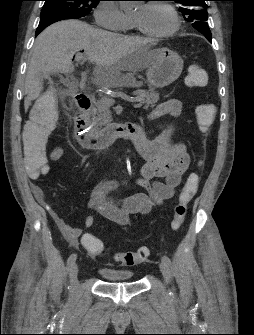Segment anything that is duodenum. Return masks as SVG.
<instances>
[{
    "instance_id": "410a0bca",
    "label": "duodenum",
    "mask_w": 254,
    "mask_h": 335,
    "mask_svg": "<svg viewBox=\"0 0 254 335\" xmlns=\"http://www.w3.org/2000/svg\"><path fill=\"white\" fill-rule=\"evenodd\" d=\"M77 106L75 114V133L79 143L90 150L103 149L111 146L118 138H128L132 142L142 140L143 131L135 123H114L101 130H93L89 124L91 99L87 94L75 96Z\"/></svg>"
}]
</instances>
